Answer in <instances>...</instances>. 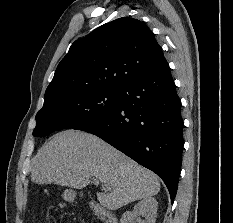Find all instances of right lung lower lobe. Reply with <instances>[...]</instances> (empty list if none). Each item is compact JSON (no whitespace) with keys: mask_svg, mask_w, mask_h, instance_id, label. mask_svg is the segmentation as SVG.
<instances>
[{"mask_svg":"<svg viewBox=\"0 0 233 223\" xmlns=\"http://www.w3.org/2000/svg\"><path fill=\"white\" fill-rule=\"evenodd\" d=\"M119 89L114 111L77 130L99 136L155 172L173 202L181 170L183 119L168 63Z\"/></svg>","mask_w":233,"mask_h":223,"instance_id":"right-lung-lower-lobe-1","label":"right lung lower lobe"}]
</instances>
